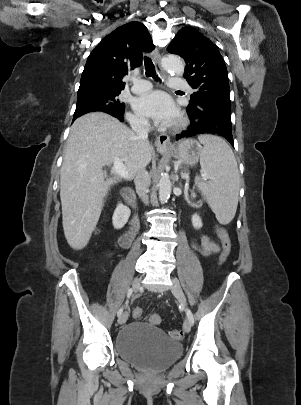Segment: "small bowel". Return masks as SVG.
<instances>
[{
    "instance_id": "c3829d8e",
    "label": "small bowel",
    "mask_w": 301,
    "mask_h": 405,
    "mask_svg": "<svg viewBox=\"0 0 301 405\" xmlns=\"http://www.w3.org/2000/svg\"><path fill=\"white\" fill-rule=\"evenodd\" d=\"M120 245L124 246L122 241H120ZM194 248L204 256L214 255L219 251V245L206 235L200 237L199 243L195 244Z\"/></svg>"
}]
</instances>
